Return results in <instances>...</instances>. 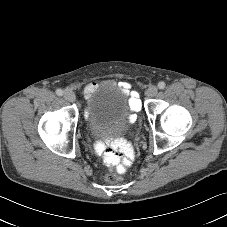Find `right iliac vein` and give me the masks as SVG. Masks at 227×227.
<instances>
[{"instance_id": "63e3f726", "label": "right iliac vein", "mask_w": 227, "mask_h": 227, "mask_svg": "<svg viewBox=\"0 0 227 227\" xmlns=\"http://www.w3.org/2000/svg\"><path fill=\"white\" fill-rule=\"evenodd\" d=\"M64 98L69 102H74L76 99V96L72 90L66 89L64 91Z\"/></svg>"}]
</instances>
